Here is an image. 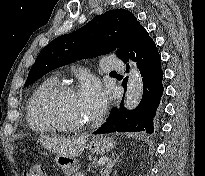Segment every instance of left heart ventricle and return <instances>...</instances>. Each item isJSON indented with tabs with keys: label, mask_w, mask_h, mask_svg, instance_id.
I'll list each match as a JSON object with an SVG mask.
<instances>
[{
	"label": "left heart ventricle",
	"mask_w": 205,
	"mask_h": 176,
	"mask_svg": "<svg viewBox=\"0 0 205 176\" xmlns=\"http://www.w3.org/2000/svg\"><path fill=\"white\" fill-rule=\"evenodd\" d=\"M50 110L63 123L82 124L89 120V116L76 93H66L57 97Z\"/></svg>",
	"instance_id": "1"
}]
</instances>
